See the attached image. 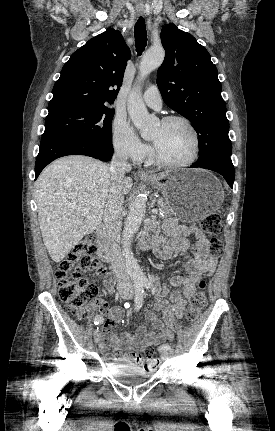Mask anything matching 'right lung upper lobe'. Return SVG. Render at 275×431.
Returning <instances> with one entry per match:
<instances>
[{"label":"right lung upper lobe","mask_w":275,"mask_h":431,"mask_svg":"<svg viewBox=\"0 0 275 431\" xmlns=\"http://www.w3.org/2000/svg\"><path fill=\"white\" fill-rule=\"evenodd\" d=\"M130 50L119 31L108 28L75 51L53 87L48 111L113 103Z\"/></svg>","instance_id":"right-lung-upper-lobe-1"}]
</instances>
